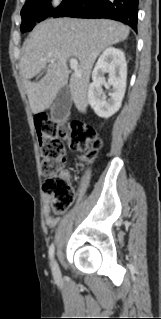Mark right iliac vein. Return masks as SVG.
Returning <instances> with one entry per match:
<instances>
[{
	"mask_svg": "<svg viewBox=\"0 0 161 319\" xmlns=\"http://www.w3.org/2000/svg\"><path fill=\"white\" fill-rule=\"evenodd\" d=\"M52 273L55 277H58L60 275V270L56 260L52 261Z\"/></svg>",
	"mask_w": 161,
	"mask_h": 319,
	"instance_id": "1",
	"label": "right iliac vein"
}]
</instances>
